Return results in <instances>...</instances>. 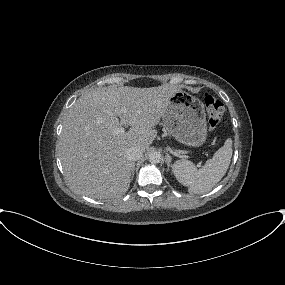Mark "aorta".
<instances>
[{"label":"aorta","instance_id":"1","mask_svg":"<svg viewBox=\"0 0 285 285\" xmlns=\"http://www.w3.org/2000/svg\"><path fill=\"white\" fill-rule=\"evenodd\" d=\"M149 162L152 164H158L162 160V156L159 152L153 151L148 155Z\"/></svg>","mask_w":285,"mask_h":285}]
</instances>
